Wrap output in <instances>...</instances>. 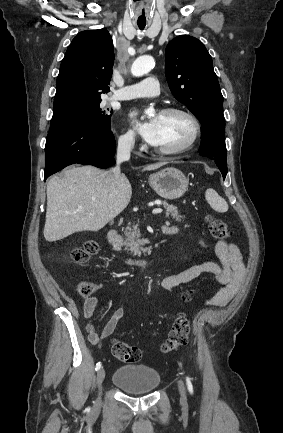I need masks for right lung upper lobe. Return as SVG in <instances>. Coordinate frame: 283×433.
<instances>
[{
  "mask_svg": "<svg viewBox=\"0 0 283 433\" xmlns=\"http://www.w3.org/2000/svg\"><path fill=\"white\" fill-rule=\"evenodd\" d=\"M114 49L106 29L76 35L61 62L53 112L101 100L110 91Z\"/></svg>",
  "mask_w": 283,
  "mask_h": 433,
  "instance_id": "obj_1",
  "label": "right lung upper lobe"
}]
</instances>
